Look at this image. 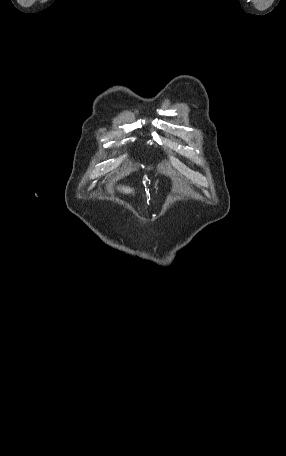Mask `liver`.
<instances>
[{"instance_id":"obj_1","label":"liver","mask_w":286,"mask_h":456,"mask_svg":"<svg viewBox=\"0 0 286 456\" xmlns=\"http://www.w3.org/2000/svg\"><path fill=\"white\" fill-rule=\"evenodd\" d=\"M119 190L123 193H126V194H129V193H132L133 192V189L129 188V187H120Z\"/></svg>"}]
</instances>
